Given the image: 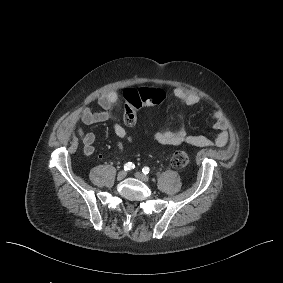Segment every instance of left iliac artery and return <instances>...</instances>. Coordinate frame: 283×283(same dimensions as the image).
Segmentation results:
<instances>
[{"mask_svg":"<svg viewBox=\"0 0 283 283\" xmlns=\"http://www.w3.org/2000/svg\"><path fill=\"white\" fill-rule=\"evenodd\" d=\"M149 171H150L149 167H144V168L142 169V172H143L145 175L148 174Z\"/></svg>","mask_w":283,"mask_h":283,"instance_id":"obj_1","label":"left iliac artery"}]
</instances>
